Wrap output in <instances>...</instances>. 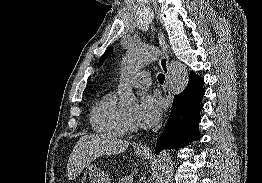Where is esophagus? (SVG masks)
I'll use <instances>...</instances> for the list:
<instances>
[{
    "mask_svg": "<svg viewBox=\"0 0 262 183\" xmlns=\"http://www.w3.org/2000/svg\"><path fill=\"white\" fill-rule=\"evenodd\" d=\"M158 40H159V44L162 50V54L159 60V65L162 69V71L164 72V74L166 75V78H168L169 76V52H168V45L165 41V37L164 34L162 32V30L160 29L158 31ZM164 94L167 98V100L169 101V103L172 102V94L170 92V88L168 87V85L165 87L164 89ZM157 139V138H155ZM154 139V140H155ZM138 150L140 151H144V152H150V142L149 143H144L141 144L137 147Z\"/></svg>",
    "mask_w": 262,
    "mask_h": 183,
    "instance_id": "obj_1",
    "label": "esophagus"
}]
</instances>
